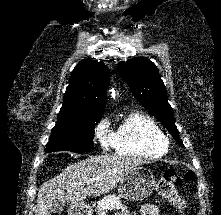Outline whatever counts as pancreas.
I'll list each match as a JSON object with an SVG mask.
<instances>
[{"mask_svg": "<svg viewBox=\"0 0 221 215\" xmlns=\"http://www.w3.org/2000/svg\"><path fill=\"white\" fill-rule=\"evenodd\" d=\"M124 205L122 204L120 197L116 195H108L102 198L97 203V214L98 215H106L107 211L113 209H121Z\"/></svg>", "mask_w": 221, "mask_h": 215, "instance_id": "cf45deb5", "label": "pancreas"}]
</instances>
